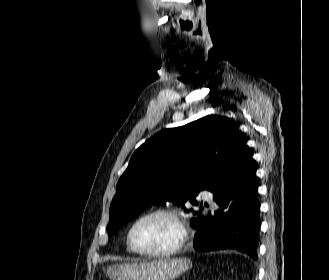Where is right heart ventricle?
I'll list each match as a JSON object with an SVG mask.
<instances>
[{"mask_svg":"<svg viewBox=\"0 0 329 280\" xmlns=\"http://www.w3.org/2000/svg\"><path fill=\"white\" fill-rule=\"evenodd\" d=\"M127 251H128L129 253H134V251H133L132 248L130 247L128 241H127Z\"/></svg>","mask_w":329,"mask_h":280,"instance_id":"right-heart-ventricle-1","label":"right heart ventricle"}]
</instances>
